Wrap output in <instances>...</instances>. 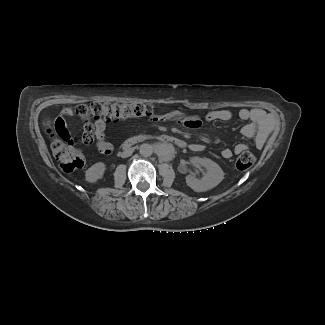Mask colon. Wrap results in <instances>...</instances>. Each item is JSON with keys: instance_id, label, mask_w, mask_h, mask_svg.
Returning <instances> with one entry per match:
<instances>
[{"instance_id": "obj_1", "label": "colon", "mask_w": 325, "mask_h": 325, "mask_svg": "<svg viewBox=\"0 0 325 325\" xmlns=\"http://www.w3.org/2000/svg\"><path fill=\"white\" fill-rule=\"evenodd\" d=\"M76 115L88 121L90 118H102L106 121H119L124 119L142 118L153 116L156 109L152 105L137 103H92L87 105H78L75 107ZM52 151L60 168L64 172H72L84 165V155L82 151L72 145L64 143L61 139L54 138L52 142ZM255 162L254 155L249 151H243L237 157L236 167L239 170H247Z\"/></svg>"}]
</instances>
